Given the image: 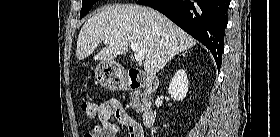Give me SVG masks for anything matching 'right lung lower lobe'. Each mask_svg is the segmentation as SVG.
Here are the masks:
<instances>
[{
    "label": "right lung lower lobe",
    "instance_id": "98d812e1",
    "mask_svg": "<svg viewBox=\"0 0 280 137\" xmlns=\"http://www.w3.org/2000/svg\"><path fill=\"white\" fill-rule=\"evenodd\" d=\"M229 0H138L172 20L203 43L212 53L218 69L222 62L224 31L228 23Z\"/></svg>",
    "mask_w": 280,
    "mask_h": 137
}]
</instances>
